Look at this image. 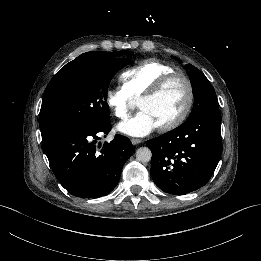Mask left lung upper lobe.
I'll return each instance as SVG.
<instances>
[{"label":"left lung upper lobe","instance_id":"1","mask_svg":"<svg viewBox=\"0 0 261 261\" xmlns=\"http://www.w3.org/2000/svg\"><path fill=\"white\" fill-rule=\"evenodd\" d=\"M175 59L180 62L178 58ZM185 68L188 70L190 76L195 100L192 113L188 119H191L205 111L219 112L216 93L205 75L191 64L185 65Z\"/></svg>","mask_w":261,"mask_h":261}]
</instances>
